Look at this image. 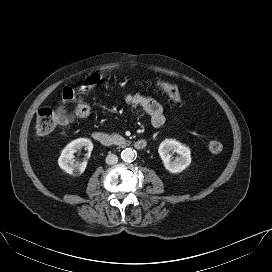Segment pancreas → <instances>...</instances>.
Returning a JSON list of instances; mask_svg holds the SVG:
<instances>
[{"label":"pancreas","instance_id":"cf45deb5","mask_svg":"<svg viewBox=\"0 0 272 272\" xmlns=\"http://www.w3.org/2000/svg\"><path fill=\"white\" fill-rule=\"evenodd\" d=\"M112 141L116 145H124L126 144V140L119 134H112L111 135Z\"/></svg>","mask_w":272,"mask_h":272}]
</instances>
